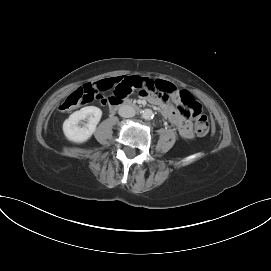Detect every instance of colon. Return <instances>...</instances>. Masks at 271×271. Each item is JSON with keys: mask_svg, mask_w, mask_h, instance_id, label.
<instances>
[{"mask_svg": "<svg viewBox=\"0 0 271 271\" xmlns=\"http://www.w3.org/2000/svg\"><path fill=\"white\" fill-rule=\"evenodd\" d=\"M159 89H166L159 86ZM133 92V91H132ZM97 92L88 86H83L72 92L60 105L61 111H71L80 105L97 98ZM113 99V96L109 100ZM179 104L181 114L185 119L195 120V131L199 136H205L210 129L209 120L202 113L200 103L188 91L179 92Z\"/></svg>", "mask_w": 271, "mask_h": 271, "instance_id": "obj_1", "label": "colon"}]
</instances>
